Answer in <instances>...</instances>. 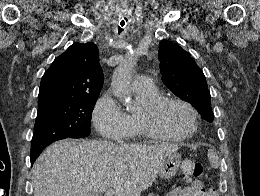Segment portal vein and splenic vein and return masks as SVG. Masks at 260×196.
I'll use <instances>...</instances> for the list:
<instances>
[{"instance_id": "obj_1", "label": "portal vein and splenic vein", "mask_w": 260, "mask_h": 196, "mask_svg": "<svg viewBox=\"0 0 260 196\" xmlns=\"http://www.w3.org/2000/svg\"><path fill=\"white\" fill-rule=\"evenodd\" d=\"M114 194V190H107V192H104V196H114ZM97 196H101V194H97Z\"/></svg>"}]
</instances>
